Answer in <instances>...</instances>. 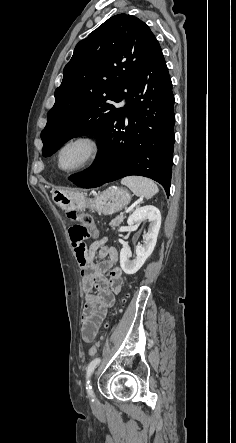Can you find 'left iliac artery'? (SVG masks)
<instances>
[{
  "label": "left iliac artery",
  "mask_w": 236,
  "mask_h": 443,
  "mask_svg": "<svg viewBox=\"0 0 236 443\" xmlns=\"http://www.w3.org/2000/svg\"><path fill=\"white\" fill-rule=\"evenodd\" d=\"M100 361H101L100 358L93 359L90 362V364L88 365L87 369H86V371H87V373H86V379H87V381H86V389H87V392L91 396H93V391H92V386L89 384L90 383L89 378H90L91 374L93 373V371L95 370V368L99 365Z\"/></svg>",
  "instance_id": "44dca946"
}]
</instances>
